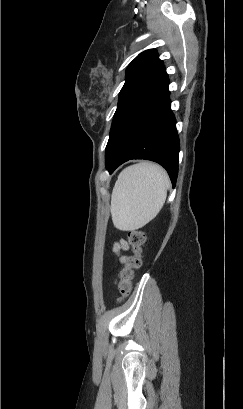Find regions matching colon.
Listing matches in <instances>:
<instances>
[{
  "mask_svg": "<svg viewBox=\"0 0 243 409\" xmlns=\"http://www.w3.org/2000/svg\"><path fill=\"white\" fill-rule=\"evenodd\" d=\"M128 240L132 247V254L128 257L120 273L119 288L121 296L118 302H122L132 289L134 271L141 266V251L146 241V234L142 230H133L128 233Z\"/></svg>",
  "mask_w": 243,
  "mask_h": 409,
  "instance_id": "5ec220e1",
  "label": "colon"
}]
</instances>
